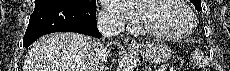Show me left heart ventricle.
<instances>
[{"label": "left heart ventricle", "mask_w": 230, "mask_h": 71, "mask_svg": "<svg viewBox=\"0 0 230 71\" xmlns=\"http://www.w3.org/2000/svg\"><path fill=\"white\" fill-rule=\"evenodd\" d=\"M140 6L143 21L156 31L176 34L190 26L188 13L175 0L143 1Z\"/></svg>", "instance_id": "obj_1"}]
</instances>
